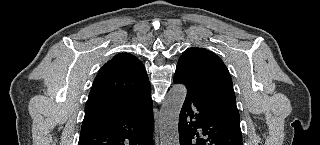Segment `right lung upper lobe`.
<instances>
[{
    "instance_id": "right-lung-upper-lobe-1",
    "label": "right lung upper lobe",
    "mask_w": 320,
    "mask_h": 145,
    "mask_svg": "<svg viewBox=\"0 0 320 145\" xmlns=\"http://www.w3.org/2000/svg\"><path fill=\"white\" fill-rule=\"evenodd\" d=\"M151 91L143 64L120 53L99 70L85 106L83 123L115 116L139 104Z\"/></svg>"
}]
</instances>
